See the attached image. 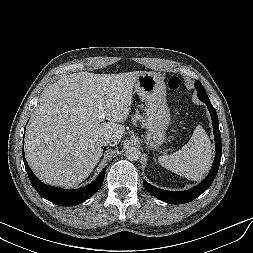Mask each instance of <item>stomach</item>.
I'll return each instance as SVG.
<instances>
[{
    "label": "stomach",
    "mask_w": 253,
    "mask_h": 253,
    "mask_svg": "<svg viewBox=\"0 0 253 253\" xmlns=\"http://www.w3.org/2000/svg\"><path fill=\"white\" fill-rule=\"evenodd\" d=\"M135 90L146 104L144 123L148 144L156 148L165 141L166 130L171 123L164 78L155 72L142 73L135 82Z\"/></svg>",
    "instance_id": "1"
}]
</instances>
